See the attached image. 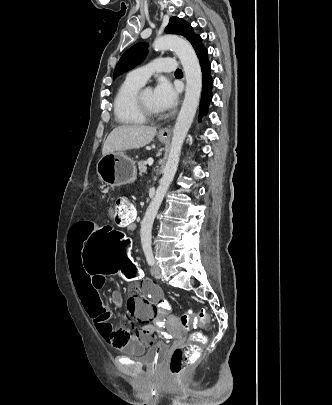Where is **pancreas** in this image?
I'll use <instances>...</instances> for the list:
<instances>
[{
  "mask_svg": "<svg viewBox=\"0 0 332 405\" xmlns=\"http://www.w3.org/2000/svg\"><path fill=\"white\" fill-rule=\"evenodd\" d=\"M138 168H139V175L143 176L147 173L146 162L145 161H138Z\"/></svg>",
  "mask_w": 332,
  "mask_h": 405,
  "instance_id": "1",
  "label": "pancreas"
}]
</instances>
